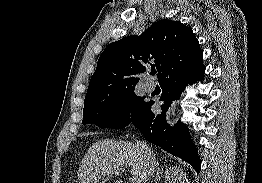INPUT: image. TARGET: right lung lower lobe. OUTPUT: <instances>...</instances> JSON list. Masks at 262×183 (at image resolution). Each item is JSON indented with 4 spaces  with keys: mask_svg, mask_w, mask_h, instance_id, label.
<instances>
[{
    "mask_svg": "<svg viewBox=\"0 0 262 183\" xmlns=\"http://www.w3.org/2000/svg\"><path fill=\"white\" fill-rule=\"evenodd\" d=\"M204 71L205 66L201 63L190 70L164 79L160 83L163 91L160 98L161 101H164L161 105L163 112L154 114L151 111L154 101H150L132 121L148 142L188 162L197 172H199L201 161L185 124L179 121L173 128L170 127L166 123L165 112L173 100L180 98L186 85L203 80Z\"/></svg>",
    "mask_w": 262,
    "mask_h": 183,
    "instance_id": "obj_1",
    "label": "right lung lower lobe"
}]
</instances>
